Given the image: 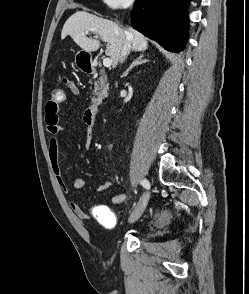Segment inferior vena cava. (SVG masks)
<instances>
[{
	"mask_svg": "<svg viewBox=\"0 0 249 294\" xmlns=\"http://www.w3.org/2000/svg\"><path fill=\"white\" fill-rule=\"evenodd\" d=\"M130 51H131V43L127 39L122 47L118 61L120 63H123L125 61V59L127 58V56L129 55Z\"/></svg>",
	"mask_w": 249,
	"mask_h": 294,
	"instance_id": "obj_1",
	"label": "inferior vena cava"
}]
</instances>
